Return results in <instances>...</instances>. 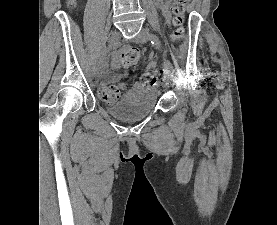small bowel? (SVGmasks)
Returning <instances> with one entry per match:
<instances>
[{
  "mask_svg": "<svg viewBox=\"0 0 277 225\" xmlns=\"http://www.w3.org/2000/svg\"><path fill=\"white\" fill-rule=\"evenodd\" d=\"M156 4L158 6V8L162 11V13L166 16L169 17V0H156ZM156 66V60L153 58L151 63L149 64V68L153 69ZM113 68L114 69H119L120 65L114 63L113 64ZM98 75L102 78H109L110 74L107 71V67L105 64H102L99 66L98 69ZM122 75H119L118 77H121ZM135 88H140L141 85L140 84H136L134 86Z\"/></svg>",
  "mask_w": 277,
  "mask_h": 225,
  "instance_id": "c3829d8e",
  "label": "small bowel"
}]
</instances>
